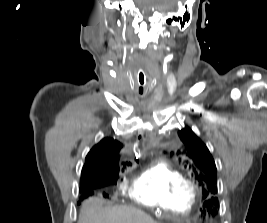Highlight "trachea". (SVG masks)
<instances>
[{
    "mask_svg": "<svg viewBox=\"0 0 267 223\" xmlns=\"http://www.w3.org/2000/svg\"><path fill=\"white\" fill-rule=\"evenodd\" d=\"M138 84H140V86H144L145 85V75L143 72H139L138 78H137Z\"/></svg>",
    "mask_w": 267,
    "mask_h": 223,
    "instance_id": "1",
    "label": "trachea"
}]
</instances>
